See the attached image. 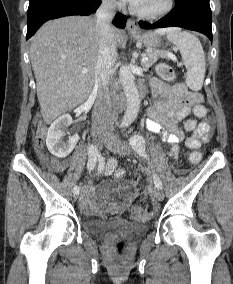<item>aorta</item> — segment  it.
<instances>
[{
    "instance_id": "obj_1",
    "label": "aorta",
    "mask_w": 233,
    "mask_h": 284,
    "mask_svg": "<svg viewBox=\"0 0 233 284\" xmlns=\"http://www.w3.org/2000/svg\"><path fill=\"white\" fill-rule=\"evenodd\" d=\"M119 81L122 85L127 107L121 122L122 126L130 125L137 117L141 100L134 82V76L128 65H123L119 70Z\"/></svg>"
}]
</instances>
